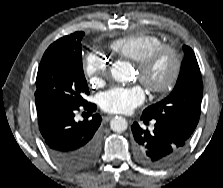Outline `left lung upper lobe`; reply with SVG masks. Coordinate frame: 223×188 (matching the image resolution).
<instances>
[{"label":"left lung upper lobe","instance_id":"obj_1","mask_svg":"<svg viewBox=\"0 0 223 188\" xmlns=\"http://www.w3.org/2000/svg\"><path fill=\"white\" fill-rule=\"evenodd\" d=\"M183 51L185 57L173 91L162 101L146 108L142 117L161 122L189 139L199 121L203 83L193 50L183 46Z\"/></svg>","mask_w":223,"mask_h":188}]
</instances>
